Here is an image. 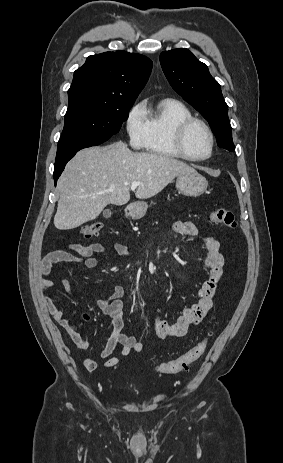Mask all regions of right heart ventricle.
Segmentation results:
<instances>
[{"label": "right heart ventricle", "mask_w": 283, "mask_h": 463, "mask_svg": "<svg viewBox=\"0 0 283 463\" xmlns=\"http://www.w3.org/2000/svg\"><path fill=\"white\" fill-rule=\"evenodd\" d=\"M145 113L144 149L162 157L182 158L175 148L174 136L177 127L183 121L193 117L190 109L179 100L165 98L154 107L145 108Z\"/></svg>", "instance_id": "right-heart-ventricle-1"}]
</instances>
